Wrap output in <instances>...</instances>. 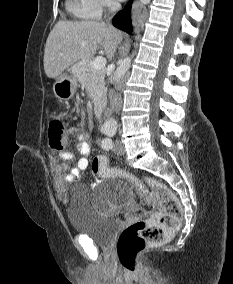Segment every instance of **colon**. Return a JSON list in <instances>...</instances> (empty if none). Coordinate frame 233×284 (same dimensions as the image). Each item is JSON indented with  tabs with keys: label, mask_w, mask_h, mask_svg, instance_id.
<instances>
[{
	"label": "colon",
	"mask_w": 233,
	"mask_h": 284,
	"mask_svg": "<svg viewBox=\"0 0 233 284\" xmlns=\"http://www.w3.org/2000/svg\"><path fill=\"white\" fill-rule=\"evenodd\" d=\"M48 140L51 148L62 150L67 136L64 124L57 116L48 122ZM92 172L102 179L120 178L132 185L146 201L156 200L159 211L148 221H137L126 227L117 242V254L127 271H135L139 254L149 245L164 242L180 224L182 208L174 193L161 181L135 175L113 167L108 158L97 156L91 163ZM147 186L151 189L148 191Z\"/></svg>",
	"instance_id": "colon-1"
}]
</instances>
